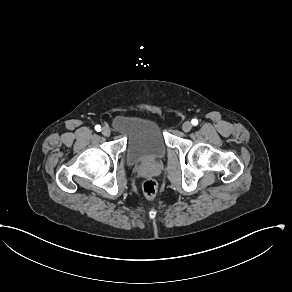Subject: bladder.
<instances>
[{
	"label": "bladder",
	"mask_w": 292,
	"mask_h": 292,
	"mask_svg": "<svg viewBox=\"0 0 292 292\" xmlns=\"http://www.w3.org/2000/svg\"><path fill=\"white\" fill-rule=\"evenodd\" d=\"M114 130L126 139V159L130 164L162 158L167 153L164 125L146 114L119 115Z\"/></svg>",
	"instance_id": "obj_1"
}]
</instances>
